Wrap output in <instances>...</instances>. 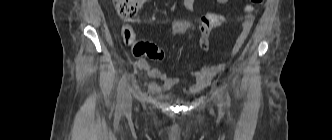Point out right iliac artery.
I'll use <instances>...</instances> for the list:
<instances>
[{
  "instance_id": "right-iliac-artery-1",
  "label": "right iliac artery",
  "mask_w": 332,
  "mask_h": 140,
  "mask_svg": "<svg viewBox=\"0 0 332 140\" xmlns=\"http://www.w3.org/2000/svg\"><path fill=\"white\" fill-rule=\"evenodd\" d=\"M124 90H125V78H122L118 88H117V109L120 111L122 108V103H123V95H124Z\"/></svg>"
}]
</instances>
